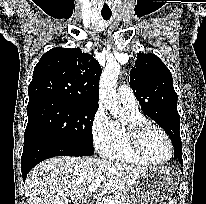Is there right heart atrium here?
<instances>
[{
    "label": "right heart atrium",
    "mask_w": 206,
    "mask_h": 204,
    "mask_svg": "<svg viewBox=\"0 0 206 204\" xmlns=\"http://www.w3.org/2000/svg\"><path fill=\"white\" fill-rule=\"evenodd\" d=\"M110 119L102 106H99L91 120V136L96 150L100 151L105 145L110 130Z\"/></svg>",
    "instance_id": "d8ad5b80"
}]
</instances>
